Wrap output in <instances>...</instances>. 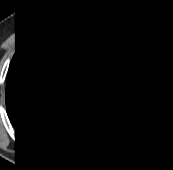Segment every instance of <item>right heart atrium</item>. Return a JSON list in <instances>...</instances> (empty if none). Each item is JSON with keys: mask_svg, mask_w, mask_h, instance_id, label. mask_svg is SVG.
<instances>
[{"mask_svg": "<svg viewBox=\"0 0 173 170\" xmlns=\"http://www.w3.org/2000/svg\"><path fill=\"white\" fill-rule=\"evenodd\" d=\"M81 70V65L79 63H75L73 66H72V71L73 72H80Z\"/></svg>", "mask_w": 173, "mask_h": 170, "instance_id": "d8ad5b80", "label": "right heart atrium"}]
</instances>
